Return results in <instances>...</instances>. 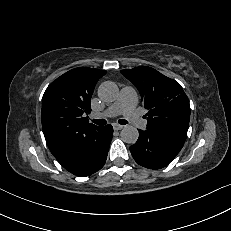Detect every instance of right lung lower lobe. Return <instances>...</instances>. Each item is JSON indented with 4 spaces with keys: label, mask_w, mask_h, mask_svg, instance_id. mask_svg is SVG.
Segmentation results:
<instances>
[{
    "label": "right lung lower lobe",
    "mask_w": 231,
    "mask_h": 231,
    "mask_svg": "<svg viewBox=\"0 0 231 231\" xmlns=\"http://www.w3.org/2000/svg\"><path fill=\"white\" fill-rule=\"evenodd\" d=\"M112 135L111 125L81 129L75 133L70 147L54 156L72 174L89 176L105 164Z\"/></svg>",
    "instance_id": "obj_1"
}]
</instances>
